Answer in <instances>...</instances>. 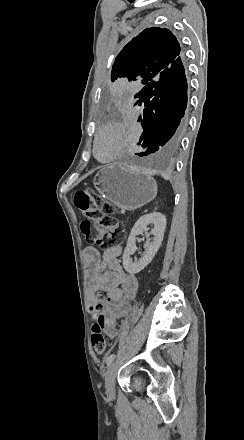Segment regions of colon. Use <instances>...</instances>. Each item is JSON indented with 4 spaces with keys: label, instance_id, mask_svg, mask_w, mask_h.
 Returning a JSON list of instances; mask_svg holds the SVG:
<instances>
[{
    "label": "colon",
    "instance_id": "1",
    "mask_svg": "<svg viewBox=\"0 0 244 440\" xmlns=\"http://www.w3.org/2000/svg\"><path fill=\"white\" fill-rule=\"evenodd\" d=\"M74 204L86 221L80 224L81 232L88 242L96 243L102 249L113 247L118 239L125 237V221H117L111 205L103 203L89 189L79 190L74 196ZM93 324L91 327V343L96 355L106 352L107 341L104 334L106 319L103 297L98 294L90 305Z\"/></svg>",
    "mask_w": 244,
    "mask_h": 440
}]
</instances>
